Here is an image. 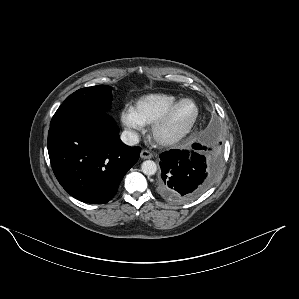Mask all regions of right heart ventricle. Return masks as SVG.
Listing matches in <instances>:
<instances>
[{
    "label": "right heart ventricle",
    "instance_id": "right-heart-ventricle-1",
    "mask_svg": "<svg viewBox=\"0 0 299 299\" xmlns=\"http://www.w3.org/2000/svg\"><path fill=\"white\" fill-rule=\"evenodd\" d=\"M178 98L168 93H152L141 96L133 105L136 116L144 125L152 124Z\"/></svg>",
    "mask_w": 299,
    "mask_h": 299
}]
</instances>
